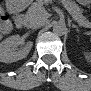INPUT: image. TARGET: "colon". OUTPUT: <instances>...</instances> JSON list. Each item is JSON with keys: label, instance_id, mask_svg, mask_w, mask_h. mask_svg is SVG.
Returning <instances> with one entry per match:
<instances>
[{"label": "colon", "instance_id": "1", "mask_svg": "<svg viewBox=\"0 0 91 91\" xmlns=\"http://www.w3.org/2000/svg\"><path fill=\"white\" fill-rule=\"evenodd\" d=\"M9 27H10V24L7 20L6 17H2V22H1V26H0V29L3 33H6L9 31Z\"/></svg>", "mask_w": 91, "mask_h": 91}]
</instances>
